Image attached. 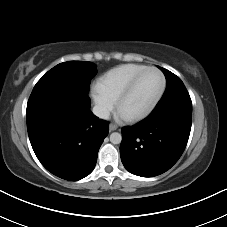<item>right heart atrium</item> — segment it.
<instances>
[{"instance_id": "obj_1", "label": "right heart atrium", "mask_w": 227, "mask_h": 227, "mask_svg": "<svg viewBox=\"0 0 227 227\" xmlns=\"http://www.w3.org/2000/svg\"><path fill=\"white\" fill-rule=\"evenodd\" d=\"M93 100L101 116H107L115 106V100L96 85L92 91Z\"/></svg>"}]
</instances>
